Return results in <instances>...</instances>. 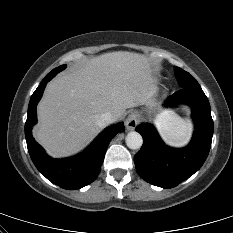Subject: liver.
Segmentation results:
<instances>
[{
  "label": "liver",
  "mask_w": 233,
  "mask_h": 233,
  "mask_svg": "<svg viewBox=\"0 0 233 233\" xmlns=\"http://www.w3.org/2000/svg\"><path fill=\"white\" fill-rule=\"evenodd\" d=\"M155 92L149 58L123 51L102 54L48 83L34 136L53 157L75 154L99 133L96 120L103 113L117 121L126 109L153 101Z\"/></svg>",
  "instance_id": "1"
}]
</instances>
